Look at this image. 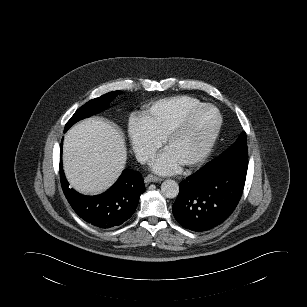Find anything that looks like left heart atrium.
Listing matches in <instances>:
<instances>
[{"label": "left heart atrium", "mask_w": 307, "mask_h": 307, "mask_svg": "<svg viewBox=\"0 0 307 307\" xmlns=\"http://www.w3.org/2000/svg\"><path fill=\"white\" fill-rule=\"evenodd\" d=\"M181 163L167 150L153 162V169L160 174H171L180 168Z\"/></svg>", "instance_id": "39dd6f15"}]
</instances>
